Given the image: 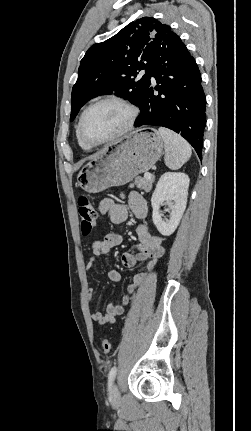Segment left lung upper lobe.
Listing matches in <instances>:
<instances>
[{"label":"left lung upper lobe","mask_w":251,"mask_h":431,"mask_svg":"<svg viewBox=\"0 0 251 431\" xmlns=\"http://www.w3.org/2000/svg\"><path fill=\"white\" fill-rule=\"evenodd\" d=\"M173 33L168 25L143 17L91 46L80 62L78 79L72 88L70 121L87 101L112 91L140 106L149 85L151 58ZM143 69L145 75L138 78Z\"/></svg>","instance_id":"5c2ea615"}]
</instances>
